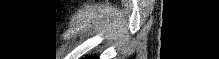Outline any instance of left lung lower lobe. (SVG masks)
<instances>
[{"instance_id":"left-lung-lower-lobe-1","label":"left lung lower lobe","mask_w":219,"mask_h":59,"mask_svg":"<svg viewBox=\"0 0 219 59\" xmlns=\"http://www.w3.org/2000/svg\"><path fill=\"white\" fill-rule=\"evenodd\" d=\"M85 59H98L97 56H91V57H88V58H85Z\"/></svg>"}]
</instances>
